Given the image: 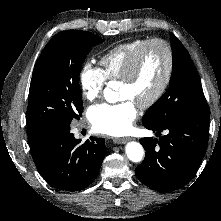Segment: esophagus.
<instances>
[{"label": "esophagus", "mask_w": 221, "mask_h": 221, "mask_svg": "<svg viewBox=\"0 0 221 221\" xmlns=\"http://www.w3.org/2000/svg\"><path fill=\"white\" fill-rule=\"evenodd\" d=\"M131 138H113V142L115 144H125L127 141H129Z\"/></svg>", "instance_id": "34e87169"}]
</instances>
